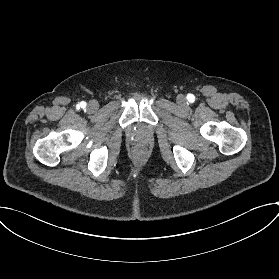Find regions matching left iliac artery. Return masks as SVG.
Listing matches in <instances>:
<instances>
[{"instance_id":"left-iliac-artery-1","label":"left iliac artery","mask_w":279,"mask_h":279,"mask_svg":"<svg viewBox=\"0 0 279 279\" xmlns=\"http://www.w3.org/2000/svg\"><path fill=\"white\" fill-rule=\"evenodd\" d=\"M187 99H188L189 102L193 103L195 101V96L193 94H189L187 96Z\"/></svg>"}]
</instances>
